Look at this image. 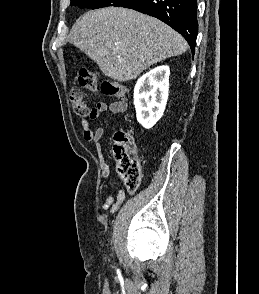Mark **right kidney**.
<instances>
[{"instance_id": "obj_1", "label": "right kidney", "mask_w": 259, "mask_h": 294, "mask_svg": "<svg viewBox=\"0 0 259 294\" xmlns=\"http://www.w3.org/2000/svg\"><path fill=\"white\" fill-rule=\"evenodd\" d=\"M169 75V67L161 65L141 76L135 85L136 117L146 129L152 128L163 115L168 100Z\"/></svg>"}]
</instances>
